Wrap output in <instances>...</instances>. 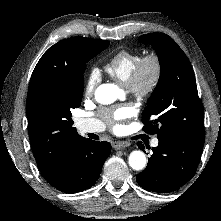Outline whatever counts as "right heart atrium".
<instances>
[{
    "label": "right heart atrium",
    "instance_id": "d8ad5b80",
    "mask_svg": "<svg viewBox=\"0 0 221 221\" xmlns=\"http://www.w3.org/2000/svg\"><path fill=\"white\" fill-rule=\"evenodd\" d=\"M98 83H99V74L95 69H93L89 72L85 82V89H84L85 95L91 96L94 93Z\"/></svg>",
    "mask_w": 221,
    "mask_h": 221
}]
</instances>
